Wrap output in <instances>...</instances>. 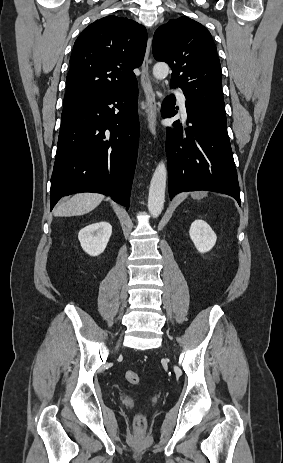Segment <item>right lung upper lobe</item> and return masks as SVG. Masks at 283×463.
<instances>
[{
    "label": "right lung upper lobe",
    "mask_w": 283,
    "mask_h": 463,
    "mask_svg": "<svg viewBox=\"0 0 283 463\" xmlns=\"http://www.w3.org/2000/svg\"><path fill=\"white\" fill-rule=\"evenodd\" d=\"M146 44L145 27L128 18L107 16L85 28L70 58L63 111L136 83L133 69L142 64Z\"/></svg>",
    "instance_id": "right-lung-upper-lobe-1"
}]
</instances>
